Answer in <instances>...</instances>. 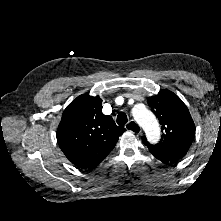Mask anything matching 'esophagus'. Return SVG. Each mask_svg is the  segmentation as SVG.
<instances>
[{
    "label": "esophagus",
    "instance_id": "1",
    "mask_svg": "<svg viewBox=\"0 0 221 221\" xmlns=\"http://www.w3.org/2000/svg\"><path fill=\"white\" fill-rule=\"evenodd\" d=\"M125 128L132 132V133H141L142 129L141 127L135 122V121H130L129 123L126 124Z\"/></svg>",
    "mask_w": 221,
    "mask_h": 221
}]
</instances>
